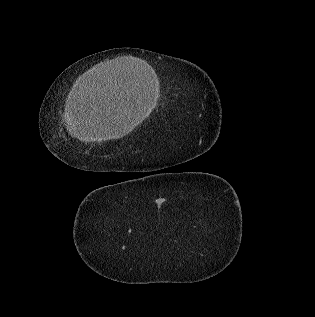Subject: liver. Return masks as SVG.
<instances>
[{"label":"liver","mask_w":315,"mask_h":317,"mask_svg":"<svg viewBox=\"0 0 315 317\" xmlns=\"http://www.w3.org/2000/svg\"><path fill=\"white\" fill-rule=\"evenodd\" d=\"M136 64L134 59L120 61L122 68ZM118 92L115 80L106 88L80 86L66 119L69 133L85 143L119 139L129 134L138 118Z\"/></svg>","instance_id":"1"}]
</instances>
